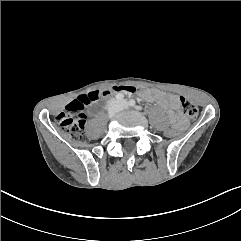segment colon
<instances>
[{
  "instance_id": "1",
  "label": "colon",
  "mask_w": 241,
  "mask_h": 241,
  "mask_svg": "<svg viewBox=\"0 0 241 241\" xmlns=\"http://www.w3.org/2000/svg\"><path fill=\"white\" fill-rule=\"evenodd\" d=\"M124 91L127 93L141 92V89L133 86H120L104 90L90 92L86 95L80 96L78 99L69 103L66 111L59 113L56 116V121L61 130L69 134L76 141H85L87 136L85 133L86 115L84 113L85 107L93 101L99 100L113 92ZM183 114L189 119H195L198 116V109L195 105L189 102L184 97L179 98ZM179 130L172 128L164 133V138L169 140L177 138Z\"/></svg>"
}]
</instances>
